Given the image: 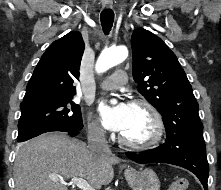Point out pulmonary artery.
Here are the masks:
<instances>
[{
  "instance_id": "1",
  "label": "pulmonary artery",
  "mask_w": 221,
  "mask_h": 190,
  "mask_svg": "<svg viewBox=\"0 0 221 190\" xmlns=\"http://www.w3.org/2000/svg\"><path fill=\"white\" fill-rule=\"evenodd\" d=\"M128 82L127 74L124 70H115L112 75L103 80L100 87L105 90H112L126 85Z\"/></svg>"
}]
</instances>
